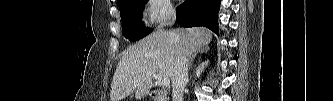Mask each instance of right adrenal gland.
Instances as JSON below:
<instances>
[{
	"label": "right adrenal gland",
	"mask_w": 333,
	"mask_h": 101,
	"mask_svg": "<svg viewBox=\"0 0 333 101\" xmlns=\"http://www.w3.org/2000/svg\"><path fill=\"white\" fill-rule=\"evenodd\" d=\"M208 50H209V47L206 46V47H203L199 52L202 53V52H204V51H208ZM197 54H198V52H196V53H194V54H192V55L190 56V61H189V68H188V70H190V68H191V66H192V63H193L195 57L197 56Z\"/></svg>",
	"instance_id": "2a0ac1e0"
}]
</instances>
